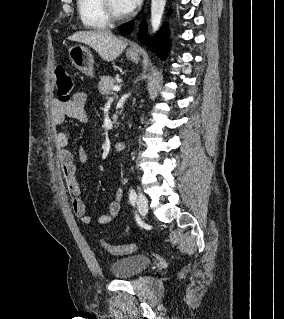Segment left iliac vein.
I'll use <instances>...</instances> for the list:
<instances>
[{
  "instance_id": "4c4485c4",
  "label": "left iliac vein",
  "mask_w": 284,
  "mask_h": 319,
  "mask_svg": "<svg viewBox=\"0 0 284 319\" xmlns=\"http://www.w3.org/2000/svg\"><path fill=\"white\" fill-rule=\"evenodd\" d=\"M137 207L141 215L145 216L148 212V200L147 198L142 194H138L137 198Z\"/></svg>"
}]
</instances>
